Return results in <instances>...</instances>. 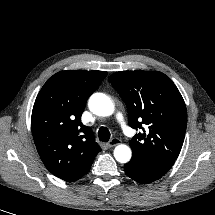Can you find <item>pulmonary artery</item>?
Listing matches in <instances>:
<instances>
[{"label": "pulmonary artery", "mask_w": 215, "mask_h": 215, "mask_svg": "<svg viewBox=\"0 0 215 215\" xmlns=\"http://www.w3.org/2000/svg\"><path fill=\"white\" fill-rule=\"evenodd\" d=\"M116 119H117L118 123L120 124V126L122 127V129H123L125 132H128L129 129H128L127 125H126L124 116L122 115L121 112H118V113L116 114Z\"/></svg>", "instance_id": "1"}]
</instances>
